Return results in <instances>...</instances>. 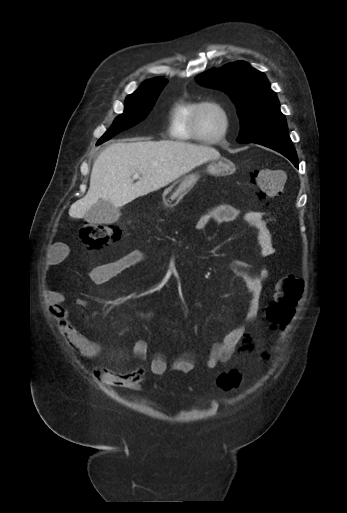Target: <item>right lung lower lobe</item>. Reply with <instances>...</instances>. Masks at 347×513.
<instances>
[{"label":"right lung lower lobe","mask_w":347,"mask_h":513,"mask_svg":"<svg viewBox=\"0 0 347 513\" xmlns=\"http://www.w3.org/2000/svg\"><path fill=\"white\" fill-rule=\"evenodd\" d=\"M97 144L99 145V144H101V142H100V141H98V143H97Z\"/></svg>","instance_id":"obj_1"}]
</instances>
